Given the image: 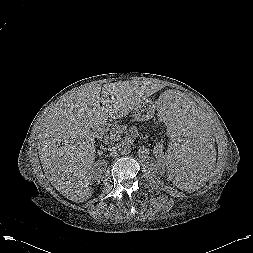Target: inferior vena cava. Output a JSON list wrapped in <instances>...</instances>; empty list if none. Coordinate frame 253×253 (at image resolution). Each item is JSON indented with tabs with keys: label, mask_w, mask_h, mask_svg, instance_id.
I'll list each match as a JSON object with an SVG mask.
<instances>
[{
	"label": "inferior vena cava",
	"mask_w": 253,
	"mask_h": 253,
	"mask_svg": "<svg viewBox=\"0 0 253 253\" xmlns=\"http://www.w3.org/2000/svg\"><path fill=\"white\" fill-rule=\"evenodd\" d=\"M108 150H109L110 156H116L119 152L118 151V144L109 146Z\"/></svg>",
	"instance_id": "1"
}]
</instances>
